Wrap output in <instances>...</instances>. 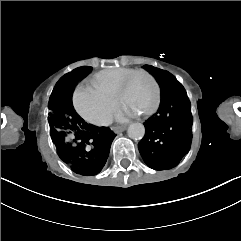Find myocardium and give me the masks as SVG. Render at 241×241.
Returning <instances> with one entry per match:
<instances>
[{"mask_svg": "<svg viewBox=\"0 0 241 241\" xmlns=\"http://www.w3.org/2000/svg\"><path fill=\"white\" fill-rule=\"evenodd\" d=\"M141 76H148L150 77V80H154L155 76L153 73H150L149 71H145L143 69H137L133 71H129L127 74L123 76V78L120 80V83L117 85V99L120 101H123L125 98L123 97V90L124 87L130 83L132 80H134L137 77ZM159 85V84H158ZM158 85L156 81H152V86L155 94V99L154 103L151 106V110H155L158 107V103L160 102V94L158 91ZM161 91V90H160ZM161 93V92H160ZM150 115L149 111H146L145 113L142 114L143 118H147Z\"/></svg>", "mask_w": 241, "mask_h": 241, "instance_id": "1", "label": "myocardium"}]
</instances>
